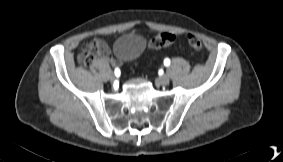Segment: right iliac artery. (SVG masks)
Instances as JSON below:
<instances>
[{
  "label": "right iliac artery",
  "instance_id": "1",
  "mask_svg": "<svg viewBox=\"0 0 283 162\" xmlns=\"http://www.w3.org/2000/svg\"><path fill=\"white\" fill-rule=\"evenodd\" d=\"M115 74H116V76H120V71H119L118 68L115 69Z\"/></svg>",
  "mask_w": 283,
  "mask_h": 162
}]
</instances>
